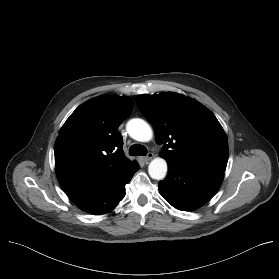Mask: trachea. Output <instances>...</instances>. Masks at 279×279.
Segmentation results:
<instances>
[{
  "label": "trachea",
  "mask_w": 279,
  "mask_h": 279,
  "mask_svg": "<svg viewBox=\"0 0 279 279\" xmlns=\"http://www.w3.org/2000/svg\"><path fill=\"white\" fill-rule=\"evenodd\" d=\"M129 153L131 156H145L147 154V149L143 145L135 144L130 147Z\"/></svg>",
  "instance_id": "obj_1"
}]
</instances>
